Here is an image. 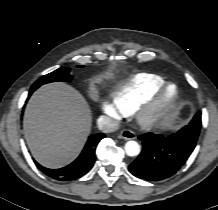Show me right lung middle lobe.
<instances>
[{
    "instance_id": "obj_1",
    "label": "right lung middle lobe",
    "mask_w": 218,
    "mask_h": 210,
    "mask_svg": "<svg viewBox=\"0 0 218 210\" xmlns=\"http://www.w3.org/2000/svg\"><path fill=\"white\" fill-rule=\"evenodd\" d=\"M83 67V66H78ZM71 80L70 69L66 67H61L47 75L39 78L31 87L33 91H35L39 86L50 83V82H58V81H66L69 82Z\"/></svg>"
}]
</instances>
